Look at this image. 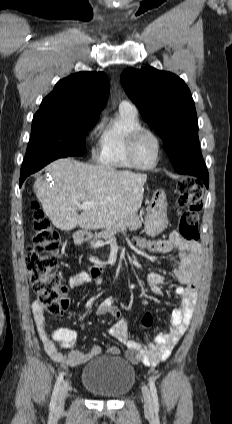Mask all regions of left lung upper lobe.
<instances>
[{
  "label": "left lung upper lobe",
  "instance_id": "5c2ea615",
  "mask_svg": "<svg viewBox=\"0 0 232 424\" xmlns=\"http://www.w3.org/2000/svg\"><path fill=\"white\" fill-rule=\"evenodd\" d=\"M121 81L144 120L162 138L176 172L199 155L195 105L182 79L170 72L145 67L126 69Z\"/></svg>",
  "mask_w": 232,
  "mask_h": 424
}]
</instances>
